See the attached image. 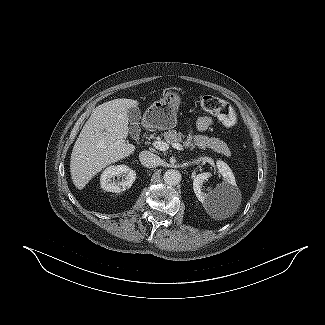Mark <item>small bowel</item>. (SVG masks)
Segmentation results:
<instances>
[{"instance_id": "obj_1", "label": "small bowel", "mask_w": 325, "mask_h": 325, "mask_svg": "<svg viewBox=\"0 0 325 325\" xmlns=\"http://www.w3.org/2000/svg\"><path fill=\"white\" fill-rule=\"evenodd\" d=\"M212 124V119L209 116H202L195 122V129L197 131H206Z\"/></svg>"}]
</instances>
